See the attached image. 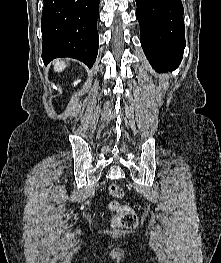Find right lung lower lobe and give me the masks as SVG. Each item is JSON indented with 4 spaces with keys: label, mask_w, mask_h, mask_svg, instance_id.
Returning <instances> with one entry per match:
<instances>
[{
    "label": "right lung lower lobe",
    "mask_w": 221,
    "mask_h": 263,
    "mask_svg": "<svg viewBox=\"0 0 221 263\" xmlns=\"http://www.w3.org/2000/svg\"><path fill=\"white\" fill-rule=\"evenodd\" d=\"M42 59H78L91 68L98 54L100 0H43Z\"/></svg>",
    "instance_id": "1"
}]
</instances>
